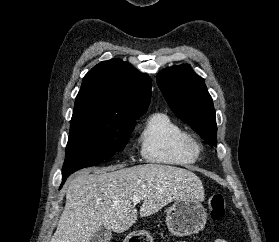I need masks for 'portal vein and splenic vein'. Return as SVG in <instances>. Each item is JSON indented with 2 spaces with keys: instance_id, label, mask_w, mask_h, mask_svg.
I'll list each match as a JSON object with an SVG mask.
<instances>
[{
  "instance_id": "portal-vein-and-splenic-vein-1",
  "label": "portal vein and splenic vein",
  "mask_w": 279,
  "mask_h": 242,
  "mask_svg": "<svg viewBox=\"0 0 279 242\" xmlns=\"http://www.w3.org/2000/svg\"><path fill=\"white\" fill-rule=\"evenodd\" d=\"M141 200H142V198L140 196H137V195L132 198V201L135 204L139 203Z\"/></svg>"
}]
</instances>
